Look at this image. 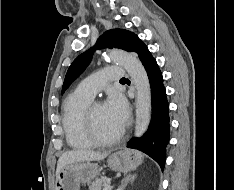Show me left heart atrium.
<instances>
[{"label": "left heart atrium", "instance_id": "39dd6f15", "mask_svg": "<svg viewBox=\"0 0 234 190\" xmlns=\"http://www.w3.org/2000/svg\"><path fill=\"white\" fill-rule=\"evenodd\" d=\"M112 119L121 127L128 118V106L124 97L118 93H111L104 104Z\"/></svg>", "mask_w": 234, "mask_h": 190}]
</instances>
